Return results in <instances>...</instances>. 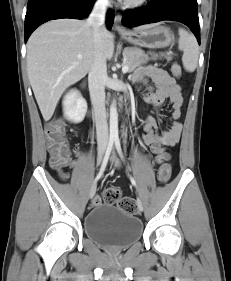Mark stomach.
<instances>
[{
	"instance_id": "obj_1",
	"label": "stomach",
	"mask_w": 231,
	"mask_h": 281,
	"mask_svg": "<svg viewBox=\"0 0 231 281\" xmlns=\"http://www.w3.org/2000/svg\"><path fill=\"white\" fill-rule=\"evenodd\" d=\"M122 38L140 47L165 48L171 44L173 35L167 27L151 24L132 31H126L122 33Z\"/></svg>"
}]
</instances>
